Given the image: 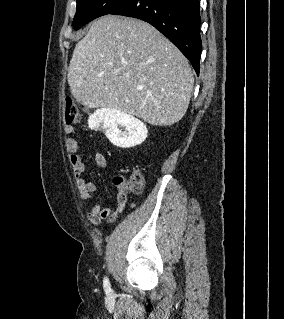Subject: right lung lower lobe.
Masks as SVG:
<instances>
[{
  "label": "right lung lower lobe",
  "instance_id": "right-lung-lower-lobe-1",
  "mask_svg": "<svg viewBox=\"0 0 284 319\" xmlns=\"http://www.w3.org/2000/svg\"><path fill=\"white\" fill-rule=\"evenodd\" d=\"M110 14L138 18L153 25L179 48L199 74V0H130Z\"/></svg>",
  "mask_w": 284,
  "mask_h": 319
}]
</instances>
